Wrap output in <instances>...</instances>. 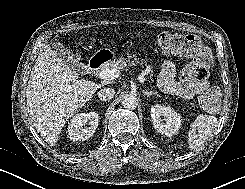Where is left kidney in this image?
I'll return each instance as SVG.
<instances>
[{
  "label": "left kidney",
  "instance_id": "left-kidney-1",
  "mask_svg": "<svg viewBox=\"0 0 245 189\" xmlns=\"http://www.w3.org/2000/svg\"><path fill=\"white\" fill-rule=\"evenodd\" d=\"M151 118L154 128L168 137L176 134L181 125L180 115L170 107L159 105L152 107Z\"/></svg>",
  "mask_w": 245,
  "mask_h": 189
}]
</instances>
